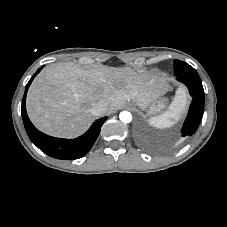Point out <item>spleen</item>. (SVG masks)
Returning <instances> with one entry per match:
<instances>
[{
  "label": "spleen",
  "mask_w": 227,
  "mask_h": 227,
  "mask_svg": "<svg viewBox=\"0 0 227 227\" xmlns=\"http://www.w3.org/2000/svg\"><path fill=\"white\" fill-rule=\"evenodd\" d=\"M184 107L185 97L183 95L176 96L170 105L169 110L161 115L150 118L149 123L157 128L170 127L180 119Z\"/></svg>",
  "instance_id": "spleen-1"
}]
</instances>
